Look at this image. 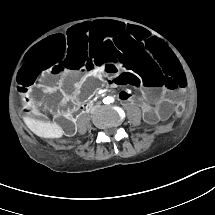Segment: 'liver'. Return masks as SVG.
Segmentation results:
<instances>
[{
  "mask_svg": "<svg viewBox=\"0 0 215 215\" xmlns=\"http://www.w3.org/2000/svg\"><path fill=\"white\" fill-rule=\"evenodd\" d=\"M24 122L27 127L39 137L60 138L64 133L63 129L59 125L54 123L36 121L28 117L24 118Z\"/></svg>",
  "mask_w": 215,
  "mask_h": 215,
  "instance_id": "1",
  "label": "liver"
}]
</instances>
